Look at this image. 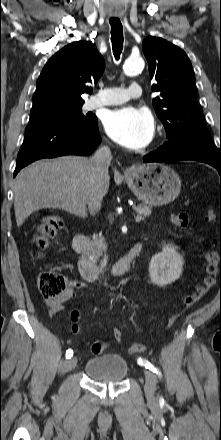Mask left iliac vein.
Wrapping results in <instances>:
<instances>
[{
    "instance_id": "4c4485c4",
    "label": "left iliac vein",
    "mask_w": 221,
    "mask_h": 440,
    "mask_svg": "<svg viewBox=\"0 0 221 440\" xmlns=\"http://www.w3.org/2000/svg\"><path fill=\"white\" fill-rule=\"evenodd\" d=\"M145 375V394L148 398H152L154 396L157 384L156 375L150 370H144Z\"/></svg>"
}]
</instances>
